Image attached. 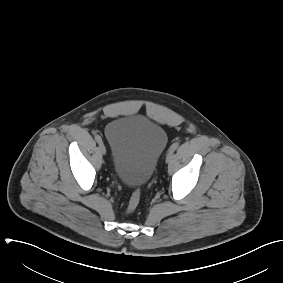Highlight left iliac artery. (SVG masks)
Here are the masks:
<instances>
[{
  "mask_svg": "<svg viewBox=\"0 0 283 283\" xmlns=\"http://www.w3.org/2000/svg\"><path fill=\"white\" fill-rule=\"evenodd\" d=\"M178 146H179V143L178 142H175V143H173L171 146H170V148H169V150H168V153H173L177 148H178Z\"/></svg>",
  "mask_w": 283,
  "mask_h": 283,
  "instance_id": "1",
  "label": "left iliac artery"
}]
</instances>
